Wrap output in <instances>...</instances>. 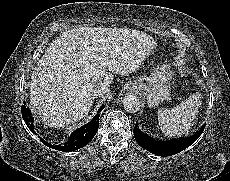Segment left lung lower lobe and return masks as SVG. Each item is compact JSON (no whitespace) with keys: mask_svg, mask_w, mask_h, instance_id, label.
Wrapping results in <instances>:
<instances>
[{"mask_svg":"<svg viewBox=\"0 0 230 181\" xmlns=\"http://www.w3.org/2000/svg\"><path fill=\"white\" fill-rule=\"evenodd\" d=\"M203 130L204 127H201L200 131H198L193 137L160 141L155 140L140 131L136 123L134 127V137L137 143L147 151L158 156H171L192 145L200 137Z\"/></svg>","mask_w":230,"mask_h":181,"instance_id":"obj_1","label":"left lung lower lobe"}]
</instances>
